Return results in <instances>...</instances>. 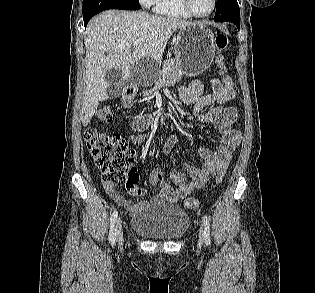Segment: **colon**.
I'll use <instances>...</instances> for the list:
<instances>
[{
	"instance_id": "obj_1",
	"label": "colon",
	"mask_w": 315,
	"mask_h": 293,
	"mask_svg": "<svg viewBox=\"0 0 315 293\" xmlns=\"http://www.w3.org/2000/svg\"><path fill=\"white\" fill-rule=\"evenodd\" d=\"M229 43L227 33H219L215 38V44L218 51L216 64L219 68L222 78L216 80L223 86V91L229 94H235L236 78H227L225 76L226 67L224 63L223 51L226 50ZM96 118L101 122H111L113 120L112 109L107 106H101L96 112ZM88 151L99 168L104 183L111 185H125L133 194H141L142 190L137 186L138 176L132 167L135 160V152L129 147L126 139L119 135H109L98 132L94 128H89L85 134ZM226 168H222L214 178V185L218 186L224 176ZM184 207L195 210L199 207V202L194 198H186Z\"/></svg>"
}]
</instances>
